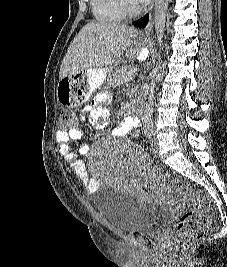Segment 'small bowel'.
Returning <instances> with one entry per match:
<instances>
[{"mask_svg":"<svg viewBox=\"0 0 227 267\" xmlns=\"http://www.w3.org/2000/svg\"><path fill=\"white\" fill-rule=\"evenodd\" d=\"M105 101L103 94L97 99L98 104ZM105 111L101 108L84 106L77 111V122L71 126L70 130H58L56 132V141L59 145V152L64 157L66 163L72 168L75 176L84 184L87 194L93 195L98 189V181L89 174L85 163L79 158L78 153L73 151L71 140H80L84 134L83 124L91 120L99 127H104L101 122ZM140 125L138 116H128L123 119L115 133L118 136H127L136 131ZM86 147L81 145V152H85Z\"/></svg>","mask_w":227,"mask_h":267,"instance_id":"obj_1","label":"small bowel"}]
</instances>
